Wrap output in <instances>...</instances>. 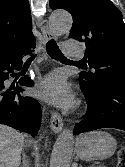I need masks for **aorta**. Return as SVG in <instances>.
I'll list each match as a JSON object with an SVG mask.
<instances>
[{
  "label": "aorta",
  "instance_id": "aorta-1",
  "mask_svg": "<svg viewBox=\"0 0 125 167\" xmlns=\"http://www.w3.org/2000/svg\"><path fill=\"white\" fill-rule=\"evenodd\" d=\"M49 26L55 34L70 31L72 17L64 11H55L49 17ZM74 137L70 130H64L58 137L50 158V167H69L73 151Z\"/></svg>",
  "mask_w": 125,
  "mask_h": 167
}]
</instances>
